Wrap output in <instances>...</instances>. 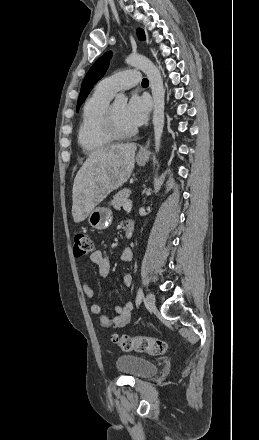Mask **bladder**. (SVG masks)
<instances>
[{
	"label": "bladder",
	"mask_w": 259,
	"mask_h": 440,
	"mask_svg": "<svg viewBox=\"0 0 259 440\" xmlns=\"http://www.w3.org/2000/svg\"><path fill=\"white\" fill-rule=\"evenodd\" d=\"M116 368L120 373L134 378H147L157 371V365L153 361L135 354L119 356Z\"/></svg>",
	"instance_id": "31cf9c89"
}]
</instances>
